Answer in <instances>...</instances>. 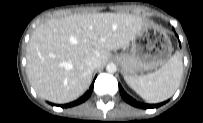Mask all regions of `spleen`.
Masks as SVG:
<instances>
[{
  "label": "spleen",
  "mask_w": 203,
  "mask_h": 123,
  "mask_svg": "<svg viewBox=\"0 0 203 123\" xmlns=\"http://www.w3.org/2000/svg\"><path fill=\"white\" fill-rule=\"evenodd\" d=\"M183 74L180 54L176 52L157 71L143 76H125L127 84L148 103L170 98L178 88Z\"/></svg>",
  "instance_id": "obj_1"
}]
</instances>
